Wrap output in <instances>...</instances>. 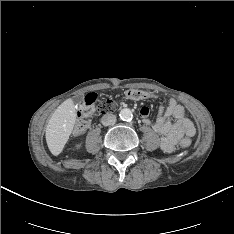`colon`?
Here are the masks:
<instances>
[{
    "label": "colon",
    "instance_id": "obj_1",
    "mask_svg": "<svg viewBox=\"0 0 234 234\" xmlns=\"http://www.w3.org/2000/svg\"><path fill=\"white\" fill-rule=\"evenodd\" d=\"M126 96L137 100L154 97L152 93L142 90H129L126 92ZM117 108L118 103L114 99L108 98L100 100L96 94L88 95L79 107V120L75 126V135H81L89 129L91 117L113 112ZM190 144L191 141L188 138H184L181 141L182 148H188Z\"/></svg>",
    "mask_w": 234,
    "mask_h": 234
}]
</instances>
